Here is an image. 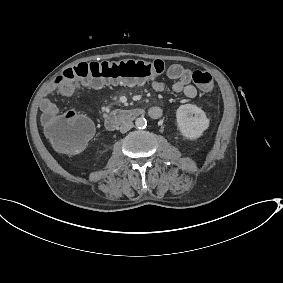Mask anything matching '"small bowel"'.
<instances>
[{
  "label": "small bowel",
  "mask_w": 283,
  "mask_h": 283,
  "mask_svg": "<svg viewBox=\"0 0 283 283\" xmlns=\"http://www.w3.org/2000/svg\"><path fill=\"white\" fill-rule=\"evenodd\" d=\"M166 75L169 79L173 80L172 90L175 93H182L188 98H195L197 96V89L191 84L192 72L184 68L180 64H172L168 67ZM78 85L62 82L56 79L46 90V95L41 101V109L44 114H60V109L50 99L51 96H71L76 90ZM150 86L158 92L166 89V85L158 80H151ZM149 115L154 119H161L163 111L158 106H152L148 110Z\"/></svg>",
  "instance_id": "1"
}]
</instances>
